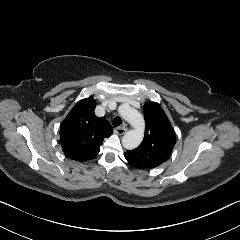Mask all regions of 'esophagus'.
I'll return each mask as SVG.
<instances>
[{
  "label": "esophagus",
  "instance_id": "34e87169",
  "mask_svg": "<svg viewBox=\"0 0 240 240\" xmlns=\"http://www.w3.org/2000/svg\"><path fill=\"white\" fill-rule=\"evenodd\" d=\"M127 132V129L125 127H116L114 129V133L118 135H123Z\"/></svg>",
  "mask_w": 240,
  "mask_h": 240
}]
</instances>
